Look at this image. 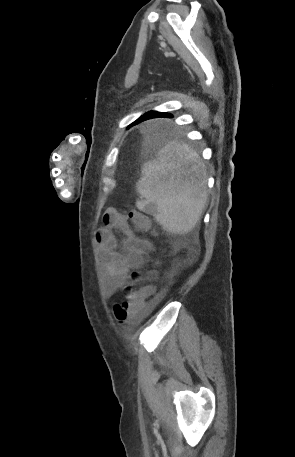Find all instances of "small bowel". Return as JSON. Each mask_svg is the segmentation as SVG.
Instances as JSON below:
<instances>
[{
  "instance_id": "c3829d8e",
  "label": "small bowel",
  "mask_w": 295,
  "mask_h": 457,
  "mask_svg": "<svg viewBox=\"0 0 295 457\" xmlns=\"http://www.w3.org/2000/svg\"><path fill=\"white\" fill-rule=\"evenodd\" d=\"M103 223L96 239L106 294L113 296L127 288L129 272L143 266L153 245L137 236L132 231L127 216L114 207L105 211ZM117 234L122 237L121 240Z\"/></svg>"
}]
</instances>
